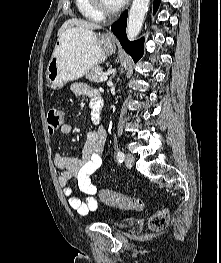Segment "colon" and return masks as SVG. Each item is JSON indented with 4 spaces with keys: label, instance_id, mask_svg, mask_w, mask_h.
<instances>
[{
    "label": "colon",
    "instance_id": "1",
    "mask_svg": "<svg viewBox=\"0 0 221 263\" xmlns=\"http://www.w3.org/2000/svg\"><path fill=\"white\" fill-rule=\"evenodd\" d=\"M64 120V111L60 107H52L47 113V126L51 133L58 130ZM100 200L108 205L121 210L142 211L144 203L142 200L120 194L111 190L102 189L99 191ZM169 222V212L162 209L151 215L149 218V228L153 231L163 230Z\"/></svg>",
    "mask_w": 221,
    "mask_h": 263
}]
</instances>
